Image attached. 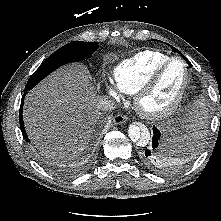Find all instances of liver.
Wrapping results in <instances>:
<instances>
[{
    "mask_svg": "<svg viewBox=\"0 0 221 221\" xmlns=\"http://www.w3.org/2000/svg\"><path fill=\"white\" fill-rule=\"evenodd\" d=\"M98 100L85 66L57 70L25 98L23 120L29 138L49 158H77L98 121Z\"/></svg>",
    "mask_w": 221,
    "mask_h": 221,
    "instance_id": "1",
    "label": "liver"
}]
</instances>
